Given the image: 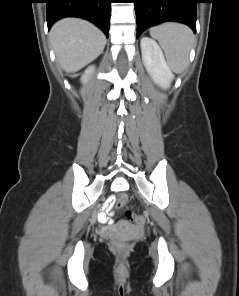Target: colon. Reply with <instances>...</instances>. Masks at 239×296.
I'll list each match as a JSON object with an SVG mask.
<instances>
[{
	"label": "colon",
	"instance_id": "1",
	"mask_svg": "<svg viewBox=\"0 0 239 296\" xmlns=\"http://www.w3.org/2000/svg\"><path fill=\"white\" fill-rule=\"evenodd\" d=\"M126 202H127V196L126 195H120L117 198L116 206L121 207ZM126 218L132 224H135V225H139V224L143 223L142 216L135 213V212H132V211H127L126 212ZM127 241H128V238H125V237H122V236H119V235H115L112 238V247H113L114 250L119 251V252L125 251L126 248H127Z\"/></svg>",
	"mask_w": 239,
	"mask_h": 296
}]
</instances>
